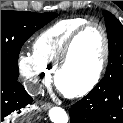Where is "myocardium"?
<instances>
[{
  "instance_id": "f54148a6",
  "label": "myocardium",
  "mask_w": 123,
  "mask_h": 123,
  "mask_svg": "<svg viewBox=\"0 0 123 123\" xmlns=\"http://www.w3.org/2000/svg\"><path fill=\"white\" fill-rule=\"evenodd\" d=\"M91 27H97L100 30L101 35H102V40H103V52H102L101 59L99 61L97 71L95 72L92 79L88 83H86L84 86H82L78 89H75V90H71V91L64 90L60 86V82H59L60 74L65 69V67L67 66V64L70 60L72 49H73V46H74L76 40L87 29H89ZM109 54H110V44H109V38H108V34H107L105 27L97 21L86 22L85 24L80 26L78 29H76L69 36V38L67 39V41L62 49L59 61L53 70V79H54L55 85L67 97L74 98V97H81V96L88 94L91 90H93L95 88V86L101 80L104 70L106 68L108 59H109Z\"/></svg>"
}]
</instances>
